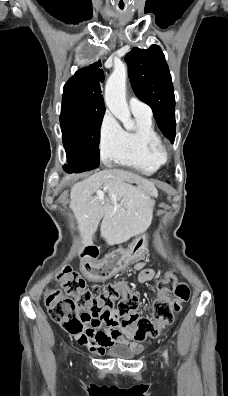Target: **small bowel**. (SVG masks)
<instances>
[{
	"mask_svg": "<svg viewBox=\"0 0 228 396\" xmlns=\"http://www.w3.org/2000/svg\"><path fill=\"white\" fill-rule=\"evenodd\" d=\"M132 261V256L126 251H120L109 255L102 262L93 264H84L83 271L86 274L96 277H106L112 275L116 271L124 268ZM134 269L138 272V281L145 283L153 279L155 273L152 269L146 268L144 262H137ZM114 314H118L113 310ZM75 338L81 345H85L88 349L97 354H103L108 346L113 344H127L136 352L142 350V345L135 341L134 331L129 328H93L87 327L82 333L75 335Z\"/></svg>",
	"mask_w": 228,
	"mask_h": 396,
	"instance_id": "1",
	"label": "small bowel"
}]
</instances>
